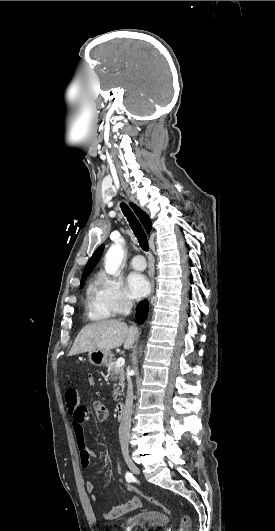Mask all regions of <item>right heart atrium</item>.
<instances>
[{
  "mask_svg": "<svg viewBox=\"0 0 275 531\" xmlns=\"http://www.w3.org/2000/svg\"><path fill=\"white\" fill-rule=\"evenodd\" d=\"M91 308L104 317H117L125 314L132 301L122 288L117 277L101 273L96 278L91 295Z\"/></svg>",
  "mask_w": 275,
  "mask_h": 531,
  "instance_id": "d8ad5b80",
  "label": "right heart atrium"
}]
</instances>
